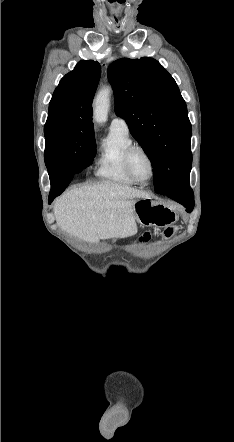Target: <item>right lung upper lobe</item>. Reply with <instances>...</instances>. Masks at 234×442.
<instances>
[{
	"label": "right lung upper lobe",
	"mask_w": 234,
	"mask_h": 442,
	"mask_svg": "<svg viewBox=\"0 0 234 442\" xmlns=\"http://www.w3.org/2000/svg\"><path fill=\"white\" fill-rule=\"evenodd\" d=\"M100 75L98 62L80 61L55 89L49 103L47 120L71 119L85 129L94 130L91 106Z\"/></svg>",
	"instance_id": "obj_1"
}]
</instances>
